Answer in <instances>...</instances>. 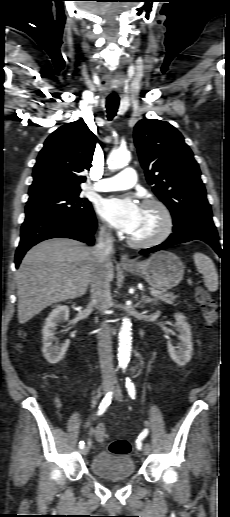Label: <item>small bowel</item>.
Wrapping results in <instances>:
<instances>
[{
  "label": "small bowel",
  "mask_w": 230,
  "mask_h": 517,
  "mask_svg": "<svg viewBox=\"0 0 230 517\" xmlns=\"http://www.w3.org/2000/svg\"><path fill=\"white\" fill-rule=\"evenodd\" d=\"M57 407H58V412H60V410L62 408V405L60 403H58ZM85 428L88 430L89 436L90 437H95L96 439H98L99 431L101 429L105 430L103 425L91 426L90 421L86 422Z\"/></svg>",
  "instance_id": "1"
}]
</instances>
